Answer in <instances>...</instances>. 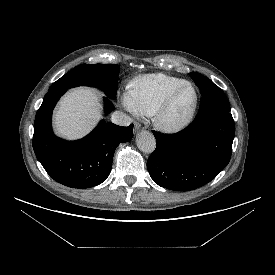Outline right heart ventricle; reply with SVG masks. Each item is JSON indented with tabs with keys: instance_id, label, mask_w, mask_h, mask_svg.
Wrapping results in <instances>:
<instances>
[{
	"instance_id": "obj_1",
	"label": "right heart ventricle",
	"mask_w": 275,
	"mask_h": 275,
	"mask_svg": "<svg viewBox=\"0 0 275 275\" xmlns=\"http://www.w3.org/2000/svg\"><path fill=\"white\" fill-rule=\"evenodd\" d=\"M186 82L166 74H148L137 79L133 85V98L140 113L154 114L165 97L177 86Z\"/></svg>"
}]
</instances>
